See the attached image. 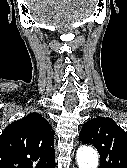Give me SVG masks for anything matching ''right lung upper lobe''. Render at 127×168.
<instances>
[{"label":"right lung upper lobe","instance_id":"right-lung-upper-lobe-1","mask_svg":"<svg viewBox=\"0 0 127 168\" xmlns=\"http://www.w3.org/2000/svg\"><path fill=\"white\" fill-rule=\"evenodd\" d=\"M54 131L40 114L30 113L0 135V168H54Z\"/></svg>","mask_w":127,"mask_h":168}]
</instances>
